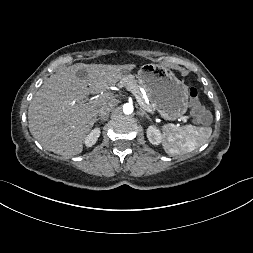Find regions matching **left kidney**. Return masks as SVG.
<instances>
[{
    "label": "left kidney",
    "instance_id": "left-kidney-1",
    "mask_svg": "<svg viewBox=\"0 0 253 253\" xmlns=\"http://www.w3.org/2000/svg\"><path fill=\"white\" fill-rule=\"evenodd\" d=\"M147 137L150 143L159 145L162 141V135L155 126H149L147 129Z\"/></svg>",
    "mask_w": 253,
    "mask_h": 253
}]
</instances>
